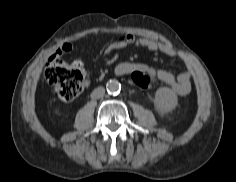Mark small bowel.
I'll use <instances>...</instances> for the list:
<instances>
[{
  "label": "small bowel",
  "mask_w": 236,
  "mask_h": 182,
  "mask_svg": "<svg viewBox=\"0 0 236 182\" xmlns=\"http://www.w3.org/2000/svg\"><path fill=\"white\" fill-rule=\"evenodd\" d=\"M131 45L143 47L148 51L162 53L171 57L178 55L177 51L168 43L157 42L147 37H137L130 33H127L118 38L117 40L109 43L104 50L105 52L109 53L111 51L125 49ZM72 50V44L66 42L58 48L55 53V56L59 57L67 55ZM130 67V71H143L152 78H156L159 81L167 84L171 88V90L178 96H186L191 91V72L188 70L175 76L169 71L163 69L155 70L154 68L149 67L145 64H133Z\"/></svg>",
  "instance_id": "1"
}]
</instances>
